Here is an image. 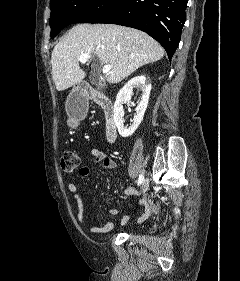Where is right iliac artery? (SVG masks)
<instances>
[{"label":"right iliac artery","instance_id":"82829eb1","mask_svg":"<svg viewBox=\"0 0 240 281\" xmlns=\"http://www.w3.org/2000/svg\"><path fill=\"white\" fill-rule=\"evenodd\" d=\"M143 181H144V176L141 174L138 178V185H141Z\"/></svg>","mask_w":240,"mask_h":281}]
</instances>
